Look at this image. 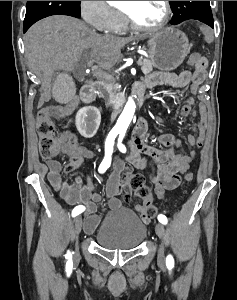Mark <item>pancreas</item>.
I'll return each instance as SVG.
<instances>
[{
    "instance_id": "obj_1",
    "label": "pancreas",
    "mask_w": 237,
    "mask_h": 300,
    "mask_svg": "<svg viewBox=\"0 0 237 300\" xmlns=\"http://www.w3.org/2000/svg\"><path fill=\"white\" fill-rule=\"evenodd\" d=\"M139 60L142 62L141 69L144 75H149V73L153 71L152 61H148V59H142V57ZM115 81L116 79H114L113 75H108V73H106L103 79H100L99 85H101V89H100L101 97H105V93H107L108 97L109 95H111V93L113 95L114 93L113 87L117 85Z\"/></svg>"
}]
</instances>
